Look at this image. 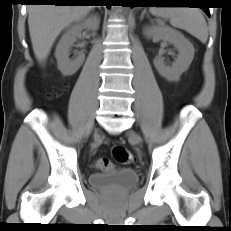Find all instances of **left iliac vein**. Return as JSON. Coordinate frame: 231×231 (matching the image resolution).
Listing matches in <instances>:
<instances>
[{
    "mask_svg": "<svg viewBox=\"0 0 231 231\" xmlns=\"http://www.w3.org/2000/svg\"><path fill=\"white\" fill-rule=\"evenodd\" d=\"M129 136L130 138L136 143V144H140L141 143V138L140 136L135 133L134 131H130L129 132Z\"/></svg>",
    "mask_w": 231,
    "mask_h": 231,
    "instance_id": "left-iliac-vein-1",
    "label": "left iliac vein"
}]
</instances>
